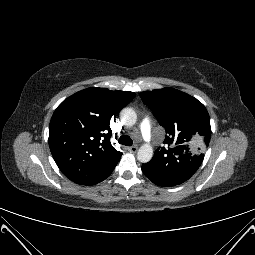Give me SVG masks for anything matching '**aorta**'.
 Here are the masks:
<instances>
[{
    "label": "aorta",
    "instance_id": "obj_1",
    "mask_svg": "<svg viewBox=\"0 0 255 255\" xmlns=\"http://www.w3.org/2000/svg\"><path fill=\"white\" fill-rule=\"evenodd\" d=\"M120 118L125 124L132 125L136 122L137 115L132 109H124L120 114ZM152 157V146L150 144H143L137 152V159L141 163H147L152 159Z\"/></svg>",
    "mask_w": 255,
    "mask_h": 255
}]
</instances>
